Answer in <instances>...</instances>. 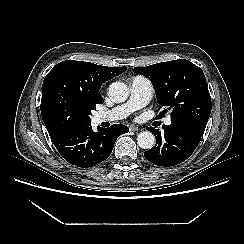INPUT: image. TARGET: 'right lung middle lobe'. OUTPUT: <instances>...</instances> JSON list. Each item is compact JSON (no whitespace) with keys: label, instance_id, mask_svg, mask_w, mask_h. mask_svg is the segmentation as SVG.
Returning <instances> with one entry per match:
<instances>
[{"label":"right lung middle lobe","instance_id":"dd1d6c3e","mask_svg":"<svg viewBox=\"0 0 244 244\" xmlns=\"http://www.w3.org/2000/svg\"><path fill=\"white\" fill-rule=\"evenodd\" d=\"M88 103L79 101L59 86H52L41 105V113L48 132H58L70 127L91 124V110Z\"/></svg>","mask_w":244,"mask_h":244}]
</instances>
